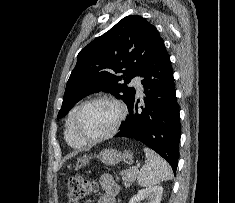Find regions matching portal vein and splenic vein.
<instances>
[{
	"mask_svg": "<svg viewBox=\"0 0 235 203\" xmlns=\"http://www.w3.org/2000/svg\"><path fill=\"white\" fill-rule=\"evenodd\" d=\"M133 170H134L135 172H137V171H138V168L135 166V167H133Z\"/></svg>",
	"mask_w": 235,
	"mask_h": 203,
	"instance_id": "portal-vein-and-splenic-vein-1",
	"label": "portal vein and splenic vein"
}]
</instances>
